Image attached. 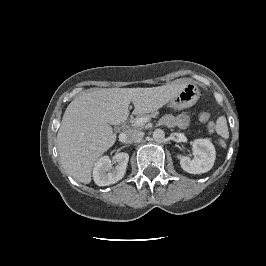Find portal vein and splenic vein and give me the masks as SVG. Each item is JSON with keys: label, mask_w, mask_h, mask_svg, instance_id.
Returning a JSON list of instances; mask_svg holds the SVG:
<instances>
[{"label": "portal vein and splenic vein", "mask_w": 266, "mask_h": 266, "mask_svg": "<svg viewBox=\"0 0 266 266\" xmlns=\"http://www.w3.org/2000/svg\"><path fill=\"white\" fill-rule=\"evenodd\" d=\"M149 120H150V118L144 117V118H139V119H137L136 122H137L138 124H145V123H147Z\"/></svg>", "instance_id": "18ae733b"}]
</instances>
